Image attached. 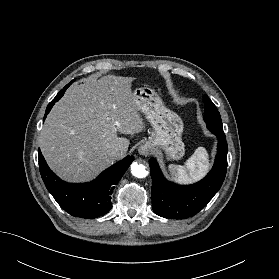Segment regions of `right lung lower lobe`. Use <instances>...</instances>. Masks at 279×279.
Listing matches in <instances>:
<instances>
[{
	"instance_id": "obj_1",
	"label": "right lung lower lobe",
	"mask_w": 279,
	"mask_h": 279,
	"mask_svg": "<svg viewBox=\"0 0 279 279\" xmlns=\"http://www.w3.org/2000/svg\"><path fill=\"white\" fill-rule=\"evenodd\" d=\"M70 84L66 85L49 103L44 119ZM38 154L40 173L48 191L66 212L74 217L84 219L97 218L110 211L112 208L111 194L115 184L118 183L133 162V156L128 155L103 171L95 180L88 183L72 184L58 178L49 169L40 150Z\"/></svg>"
}]
</instances>
